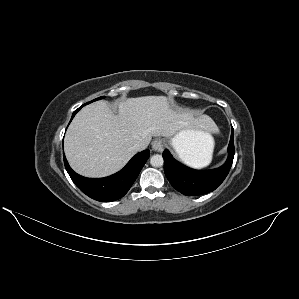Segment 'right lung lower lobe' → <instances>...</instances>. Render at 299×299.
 Returning <instances> with one entry per match:
<instances>
[{
  "mask_svg": "<svg viewBox=\"0 0 299 299\" xmlns=\"http://www.w3.org/2000/svg\"><path fill=\"white\" fill-rule=\"evenodd\" d=\"M83 106L74 111L71 120ZM149 156L150 151L148 149L144 150L136 154L119 172L97 179L86 178L75 173L70 168L65 155L64 165L72 181L83 193L94 200L110 202L122 198L128 192Z\"/></svg>",
  "mask_w": 299,
  "mask_h": 299,
  "instance_id": "obj_1",
  "label": "right lung lower lobe"
}]
</instances>
